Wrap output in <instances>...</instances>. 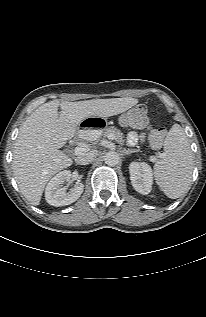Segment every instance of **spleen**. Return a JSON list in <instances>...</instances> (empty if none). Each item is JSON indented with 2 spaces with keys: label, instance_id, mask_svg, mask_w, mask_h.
Wrapping results in <instances>:
<instances>
[{
  "label": "spleen",
  "instance_id": "obj_1",
  "mask_svg": "<svg viewBox=\"0 0 206 317\" xmlns=\"http://www.w3.org/2000/svg\"><path fill=\"white\" fill-rule=\"evenodd\" d=\"M193 156L188 138L179 124H174L164 141L163 159L154 167L156 183L171 199L182 196L189 188Z\"/></svg>",
  "mask_w": 206,
  "mask_h": 317
}]
</instances>
